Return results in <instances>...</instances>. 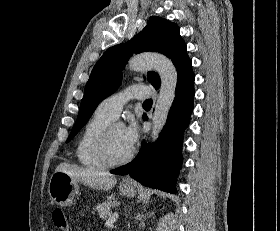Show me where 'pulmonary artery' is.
<instances>
[{
    "label": "pulmonary artery",
    "mask_w": 280,
    "mask_h": 231,
    "mask_svg": "<svg viewBox=\"0 0 280 231\" xmlns=\"http://www.w3.org/2000/svg\"><path fill=\"white\" fill-rule=\"evenodd\" d=\"M150 94V89L147 86L135 84L103 100L99 104L97 111L116 119L128 101L133 99L144 100Z\"/></svg>",
    "instance_id": "e3ab8cb5"
}]
</instances>
